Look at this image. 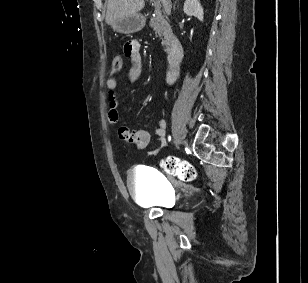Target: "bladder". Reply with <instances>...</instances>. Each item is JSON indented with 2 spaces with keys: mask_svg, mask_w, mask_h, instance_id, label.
I'll return each instance as SVG.
<instances>
[{
  "mask_svg": "<svg viewBox=\"0 0 308 283\" xmlns=\"http://www.w3.org/2000/svg\"><path fill=\"white\" fill-rule=\"evenodd\" d=\"M127 187L132 197L142 206H164L170 194L167 180L150 167L133 168L127 177Z\"/></svg>",
  "mask_w": 308,
  "mask_h": 283,
  "instance_id": "1",
  "label": "bladder"
}]
</instances>
